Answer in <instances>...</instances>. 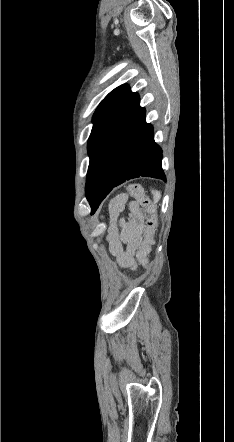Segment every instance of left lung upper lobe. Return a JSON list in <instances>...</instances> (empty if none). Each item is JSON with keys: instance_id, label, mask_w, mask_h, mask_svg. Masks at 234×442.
Segmentation results:
<instances>
[{"instance_id": "left-lung-upper-lobe-1", "label": "left lung upper lobe", "mask_w": 234, "mask_h": 442, "mask_svg": "<svg viewBox=\"0 0 234 442\" xmlns=\"http://www.w3.org/2000/svg\"><path fill=\"white\" fill-rule=\"evenodd\" d=\"M128 85H121L110 92L99 104L93 116V129L119 104L124 96L129 92Z\"/></svg>"}]
</instances>
